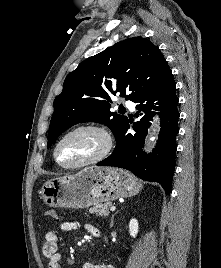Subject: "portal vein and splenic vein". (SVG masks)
<instances>
[{
	"label": "portal vein and splenic vein",
	"mask_w": 221,
	"mask_h": 268,
	"mask_svg": "<svg viewBox=\"0 0 221 268\" xmlns=\"http://www.w3.org/2000/svg\"><path fill=\"white\" fill-rule=\"evenodd\" d=\"M116 210V207L115 206H111L110 207V211H115Z\"/></svg>",
	"instance_id": "obj_1"
}]
</instances>
